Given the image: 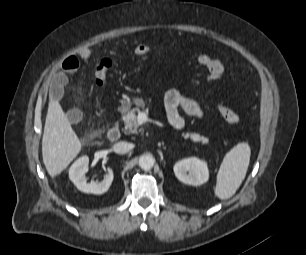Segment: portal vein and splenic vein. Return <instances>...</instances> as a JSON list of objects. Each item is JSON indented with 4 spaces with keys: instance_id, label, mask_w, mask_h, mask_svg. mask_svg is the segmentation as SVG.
Masks as SVG:
<instances>
[{
    "instance_id": "18ae733b",
    "label": "portal vein and splenic vein",
    "mask_w": 306,
    "mask_h": 255,
    "mask_svg": "<svg viewBox=\"0 0 306 255\" xmlns=\"http://www.w3.org/2000/svg\"><path fill=\"white\" fill-rule=\"evenodd\" d=\"M146 116H145V114H143V113H140L139 115H138V117H137V121H138V123L139 124H142V123H144L145 121H146Z\"/></svg>"
}]
</instances>
